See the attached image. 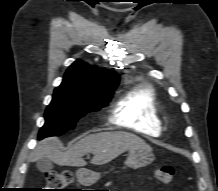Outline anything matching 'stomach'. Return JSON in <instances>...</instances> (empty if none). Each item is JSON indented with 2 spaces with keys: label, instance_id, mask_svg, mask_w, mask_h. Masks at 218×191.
Wrapping results in <instances>:
<instances>
[{
  "label": "stomach",
  "instance_id": "stomach-1",
  "mask_svg": "<svg viewBox=\"0 0 218 191\" xmlns=\"http://www.w3.org/2000/svg\"><path fill=\"white\" fill-rule=\"evenodd\" d=\"M154 161V155L151 150H143V149H132L128 153L127 160L125 161V165L130 168H141L151 164ZM76 177L78 182L83 185H92L96 183L100 179V173L79 169L76 172Z\"/></svg>",
  "mask_w": 218,
  "mask_h": 191
}]
</instances>
